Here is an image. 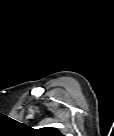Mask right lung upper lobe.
Instances as JSON below:
<instances>
[{"label": "right lung upper lobe", "mask_w": 114, "mask_h": 136, "mask_svg": "<svg viewBox=\"0 0 114 136\" xmlns=\"http://www.w3.org/2000/svg\"><path fill=\"white\" fill-rule=\"evenodd\" d=\"M39 133L46 136H59L60 132L56 128L46 127L38 130Z\"/></svg>", "instance_id": "cb5924a9"}]
</instances>
